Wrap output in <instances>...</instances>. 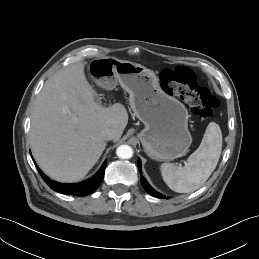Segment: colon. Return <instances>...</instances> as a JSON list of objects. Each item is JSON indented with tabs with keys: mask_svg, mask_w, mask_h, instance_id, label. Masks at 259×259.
<instances>
[{
	"mask_svg": "<svg viewBox=\"0 0 259 259\" xmlns=\"http://www.w3.org/2000/svg\"><path fill=\"white\" fill-rule=\"evenodd\" d=\"M163 90L182 100L190 110L203 119L211 118L219 107L218 100L198 84L194 72L182 66L166 68L160 73Z\"/></svg>",
	"mask_w": 259,
	"mask_h": 259,
	"instance_id": "obj_1",
	"label": "colon"
}]
</instances>
